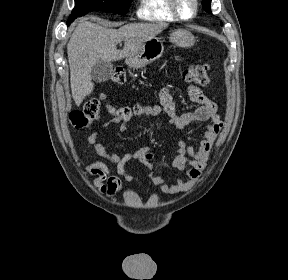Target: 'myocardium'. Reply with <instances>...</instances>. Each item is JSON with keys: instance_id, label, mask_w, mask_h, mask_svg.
<instances>
[{"instance_id": "myocardium-1", "label": "myocardium", "mask_w": 288, "mask_h": 280, "mask_svg": "<svg viewBox=\"0 0 288 280\" xmlns=\"http://www.w3.org/2000/svg\"><path fill=\"white\" fill-rule=\"evenodd\" d=\"M192 3H193V12L190 16L185 17L181 14L179 10V0H169V5L172 13L177 19L182 21H190L197 16L199 11V0H192Z\"/></svg>"}]
</instances>
